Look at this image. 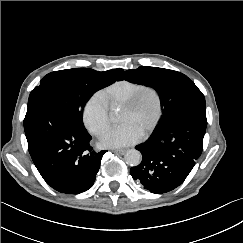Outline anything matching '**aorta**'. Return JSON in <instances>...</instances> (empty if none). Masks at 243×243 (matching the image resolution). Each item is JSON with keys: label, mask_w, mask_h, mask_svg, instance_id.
Instances as JSON below:
<instances>
[{"label": "aorta", "mask_w": 243, "mask_h": 243, "mask_svg": "<svg viewBox=\"0 0 243 243\" xmlns=\"http://www.w3.org/2000/svg\"><path fill=\"white\" fill-rule=\"evenodd\" d=\"M125 162L130 166H138L141 163V154L136 149H130L125 153Z\"/></svg>", "instance_id": "1"}]
</instances>
